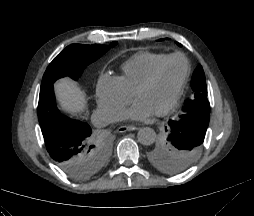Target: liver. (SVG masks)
Instances as JSON below:
<instances>
[{
  "label": "liver",
  "mask_w": 254,
  "mask_h": 216,
  "mask_svg": "<svg viewBox=\"0 0 254 216\" xmlns=\"http://www.w3.org/2000/svg\"><path fill=\"white\" fill-rule=\"evenodd\" d=\"M55 90L59 104L64 111L70 114H76L85 108V93L69 78L57 81Z\"/></svg>",
  "instance_id": "6515ba94"
}]
</instances>
